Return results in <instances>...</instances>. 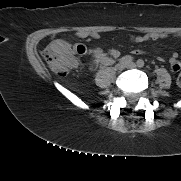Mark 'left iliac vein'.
Instances as JSON below:
<instances>
[{
  "label": "left iliac vein",
  "instance_id": "4c4485c4",
  "mask_svg": "<svg viewBox=\"0 0 181 181\" xmlns=\"http://www.w3.org/2000/svg\"><path fill=\"white\" fill-rule=\"evenodd\" d=\"M126 67H127V68H135V67H136V64L133 63V62H131V63H128V64L126 65Z\"/></svg>",
  "mask_w": 181,
  "mask_h": 181
}]
</instances>
